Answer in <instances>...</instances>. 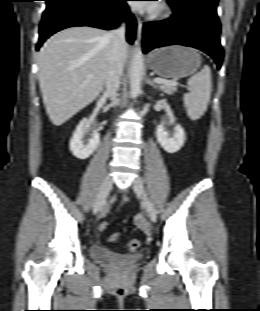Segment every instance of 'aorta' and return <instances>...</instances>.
Listing matches in <instances>:
<instances>
[{
  "label": "aorta",
  "mask_w": 260,
  "mask_h": 311,
  "mask_svg": "<svg viewBox=\"0 0 260 311\" xmlns=\"http://www.w3.org/2000/svg\"><path fill=\"white\" fill-rule=\"evenodd\" d=\"M144 75V63L140 47H136L129 69L130 93L136 98L141 91V81Z\"/></svg>",
  "instance_id": "aorta-1"
}]
</instances>
